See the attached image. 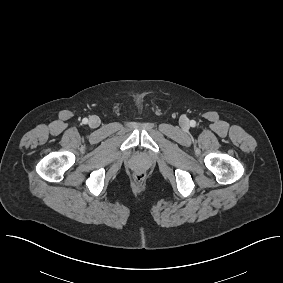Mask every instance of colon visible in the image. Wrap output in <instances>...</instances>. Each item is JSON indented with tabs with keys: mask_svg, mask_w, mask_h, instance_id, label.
<instances>
[{
	"mask_svg": "<svg viewBox=\"0 0 283 283\" xmlns=\"http://www.w3.org/2000/svg\"><path fill=\"white\" fill-rule=\"evenodd\" d=\"M145 178V174L143 172H137L135 175H134V179L136 182L140 183L144 180Z\"/></svg>",
	"mask_w": 283,
	"mask_h": 283,
	"instance_id": "colon-1",
	"label": "colon"
}]
</instances>
